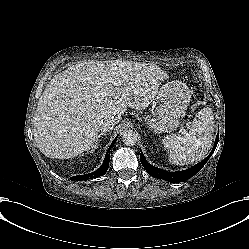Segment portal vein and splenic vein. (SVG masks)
<instances>
[{
  "mask_svg": "<svg viewBox=\"0 0 249 249\" xmlns=\"http://www.w3.org/2000/svg\"><path fill=\"white\" fill-rule=\"evenodd\" d=\"M181 132H182V133H184V132H185V130H184V129H182V130H181Z\"/></svg>",
  "mask_w": 249,
  "mask_h": 249,
  "instance_id": "18ae733b",
  "label": "portal vein and splenic vein"
}]
</instances>
